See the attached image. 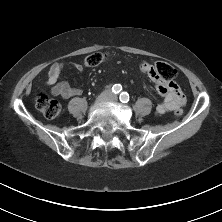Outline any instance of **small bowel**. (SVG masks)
<instances>
[{"instance_id":"small-bowel-1","label":"small bowel","mask_w":222,"mask_h":222,"mask_svg":"<svg viewBox=\"0 0 222 222\" xmlns=\"http://www.w3.org/2000/svg\"><path fill=\"white\" fill-rule=\"evenodd\" d=\"M64 66L63 63L56 62L50 67L47 74V84L50 86V91L54 96L67 99L80 95L82 91L81 89L71 87L65 81L58 82ZM72 66L80 72L84 69V66L80 63H73ZM141 71L156 83L157 91L163 97V102L159 103L156 107L157 114H165L180 109L183 106L185 97L175 82H165V79L161 77L153 65L149 63H142Z\"/></svg>"}]
</instances>
